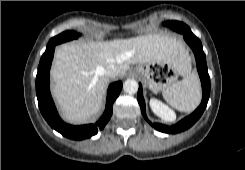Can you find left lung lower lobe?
<instances>
[{
    "mask_svg": "<svg viewBox=\"0 0 245 170\" xmlns=\"http://www.w3.org/2000/svg\"><path fill=\"white\" fill-rule=\"evenodd\" d=\"M179 28L181 30L180 33L184 35L185 41L188 43V45L191 47L195 54L197 69L202 84L203 98L200 106L195 110L194 113L182 119L174 126H166L163 124L151 123V125L155 129L163 133H179L190 128L201 117L202 113L204 112L207 106L210 96V77L207 71L206 56L203 52L201 41L191 32L190 28L187 25L183 24V26H180ZM137 99L141 107V112L143 116H145L146 120L149 122L145 115V101L142 95L141 84H139Z\"/></svg>",
    "mask_w": 245,
    "mask_h": 170,
    "instance_id": "left-lung-lower-lobe-1",
    "label": "left lung lower lobe"
}]
</instances>
